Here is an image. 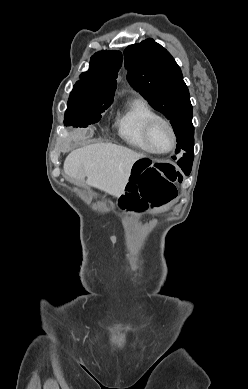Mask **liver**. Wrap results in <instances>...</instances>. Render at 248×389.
<instances>
[{"mask_svg": "<svg viewBox=\"0 0 248 389\" xmlns=\"http://www.w3.org/2000/svg\"><path fill=\"white\" fill-rule=\"evenodd\" d=\"M144 155L112 143H97L72 151L64 172L78 185L85 183L112 196L125 192L133 164Z\"/></svg>", "mask_w": 248, "mask_h": 389, "instance_id": "liver-1", "label": "liver"}]
</instances>
